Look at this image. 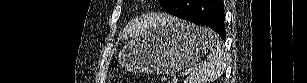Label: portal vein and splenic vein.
<instances>
[{
    "label": "portal vein and splenic vein",
    "instance_id": "obj_1",
    "mask_svg": "<svg viewBox=\"0 0 307 83\" xmlns=\"http://www.w3.org/2000/svg\"><path fill=\"white\" fill-rule=\"evenodd\" d=\"M187 74H189V72L184 73V76H186Z\"/></svg>",
    "mask_w": 307,
    "mask_h": 83
}]
</instances>
